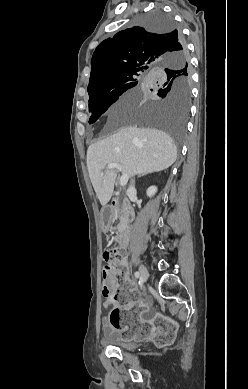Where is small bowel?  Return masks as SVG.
I'll return each mask as SVG.
<instances>
[{"label":"small bowel","instance_id":"c3829d8e","mask_svg":"<svg viewBox=\"0 0 248 389\" xmlns=\"http://www.w3.org/2000/svg\"><path fill=\"white\" fill-rule=\"evenodd\" d=\"M112 305L116 306V305H118V303H117L116 301L109 300L108 298L103 302V307H104V308H109V307L112 306ZM142 305H146V306H147V304L144 303V302L142 303ZM148 317H149V313L147 312V317H146V318H142V320H143V321H147ZM111 327H112V326H111V324L109 323V318H108V317H105V318L103 319V328H104L105 330H108V329H110Z\"/></svg>","mask_w":248,"mask_h":389}]
</instances>
